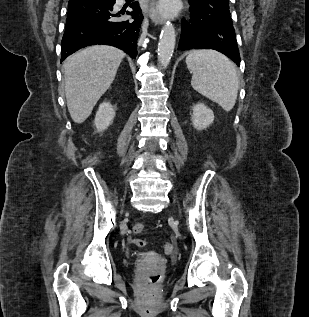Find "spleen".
I'll return each mask as SVG.
<instances>
[{
	"instance_id": "spleen-1",
	"label": "spleen",
	"mask_w": 309,
	"mask_h": 317,
	"mask_svg": "<svg viewBox=\"0 0 309 317\" xmlns=\"http://www.w3.org/2000/svg\"><path fill=\"white\" fill-rule=\"evenodd\" d=\"M192 72V87L201 95L231 111L236 103L239 78L235 65L223 54L213 50H196L186 57Z\"/></svg>"
}]
</instances>
